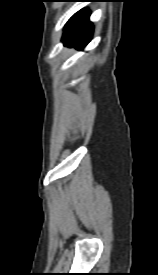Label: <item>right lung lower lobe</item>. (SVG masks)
Wrapping results in <instances>:
<instances>
[{"instance_id": "right-lung-lower-lobe-1", "label": "right lung lower lobe", "mask_w": 158, "mask_h": 275, "mask_svg": "<svg viewBox=\"0 0 158 275\" xmlns=\"http://www.w3.org/2000/svg\"><path fill=\"white\" fill-rule=\"evenodd\" d=\"M90 11L82 9L65 25L62 41L64 45L83 49L92 38L93 25L89 21Z\"/></svg>"}]
</instances>
